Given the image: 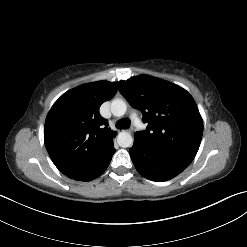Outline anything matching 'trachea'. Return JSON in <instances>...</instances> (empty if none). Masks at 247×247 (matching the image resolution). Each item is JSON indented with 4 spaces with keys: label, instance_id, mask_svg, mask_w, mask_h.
<instances>
[{
    "label": "trachea",
    "instance_id": "3493384b",
    "mask_svg": "<svg viewBox=\"0 0 247 247\" xmlns=\"http://www.w3.org/2000/svg\"><path fill=\"white\" fill-rule=\"evenodd\" d=\"M116 127L119 128V129H126V128L130 127V122L126 118L120 119L116 123Z\"/></svg>",
    "mask_w": 247,
    "mask_h": 247
}]
</instances>
